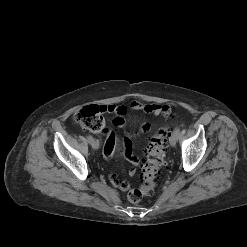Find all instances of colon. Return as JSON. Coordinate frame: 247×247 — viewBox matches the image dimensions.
Wrapping results in <instances>:
<instances>
[{
	"label": "colon",
	"instance_id": "1",
	"mask_svg": "<svg viewBox=\"0 0 247 247\" xmlns=\"http://www.w3.org/2000/svg\"><path fill=\"white\" fill-rule=\"evenodd\" d=\"M104 106L88 105L77 111L74 120L83 128L92 132H101L105 121ZM169 134L168 128H162L156 132L147 148V158L142 166L143 184L139 189L128 193V200L132 203L140 201L143 195L153 194L161 169L165 166V145Z\"/></svg>",
	"mask_w": 247,
	"mask_h": 247
}]
</instances>
